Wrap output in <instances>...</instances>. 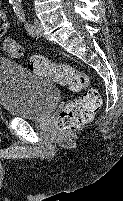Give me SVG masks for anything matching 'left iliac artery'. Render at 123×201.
Returning <instances> with one entry per match:
<instances>
[{"label":"left iliac artery","mask_w":123,"mask_h":201,"mask_svg":"<svg viewBox=\"0 0 123 201\" xmlns=\"http://www.w3.org/2000/svg\"><path fill=\"white\" fill-rule=\"evenodd\" d=\"M13 10L15 14L17 15V17L19 18V20L24 23V26L27 32L30 35L34 36L35 28L34 26H32V24L26 21L21 0H15V2L13 3Z\"/></svg>","instance_id":"1"}]
</instances>
